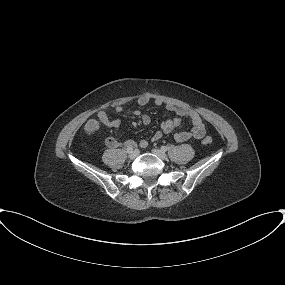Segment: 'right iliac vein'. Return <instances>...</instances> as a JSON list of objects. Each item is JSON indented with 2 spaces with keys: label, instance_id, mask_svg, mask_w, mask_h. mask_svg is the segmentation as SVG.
Masks as SVG:
<instances>
[{
  "label": "right iliac vein",
  "instance_id": "1",
  "mask_svg": "<svg viewBox=\"0 0 285 285\" xmlns=\"http://www.w3.org/2000/svg\"><path fill=\"white\" fill-rule=\"evenodd\" d=\"M139 150L138 149H135V150H132L131 152H129V158L130 159H135L138 155H139Z\"/></svg>",
  "mask_w": 285,
  "mask_h": 285
}]
</instances>
